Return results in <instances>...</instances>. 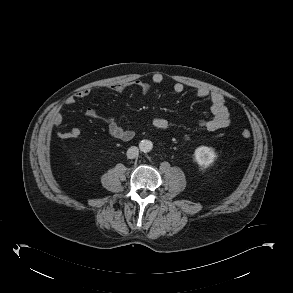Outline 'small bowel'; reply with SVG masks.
I'll use <instances>...</instances> for the list:
<instances>
[{
  "label": "small bowel",
  "instance_id": "small-bowel-1",
  "mask_svg": "<svg viewBox=\"0 0 293 293\" xmlns=\"http://www.w3.org/2000/svg\"><path fill=\"white\" fill-rule=\"evenodd\" d=\"M164 77L161 73H154L150 81L139 78L134 80L131 85L139 88L144 95H149L152 92L153 85H159L163 82ZM130 84L126 83H113L107 88L111 91L122 93ZM184 85L180 82H176L173 85V91L177 94L184 92ZM90 89H83L75 93L73 96L69 97L66 101L67 105H73L77 100L86 98L90 95ZM195 95L200 99L208 100L210 103V111L212 113V118L209 120H203L200 122V127L209 131L214 132L219 129L225 128L230 123V113L226 106L225 99L223 95L216 92H210L205 88H199L196 90ZM85 115L90 118H95L102 120L106 123L108 133L113 138H116L121 141H130L134 137V132L129 129L123 128L113 116H104L101 115L94 108H87L85 110ZM63 122V112L62 107L54 109L49 117L48 124L52 127H58ZM153 126L158 130H166L169 127V123L164 118H155L153 120ZM81 135V130L78 127L72 128L67 132H60L58 136L62 139H75ZM188 139V136L185 137Z\"/></svg>",
  "mask_w": 293,
  "mask_h": 293
}]
</instances>
